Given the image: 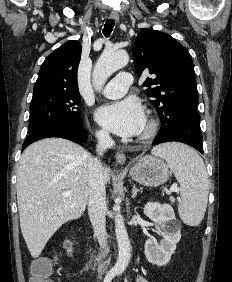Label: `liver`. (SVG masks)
Instances as JSON below:
<instances>
[{"label":"liver","mask_w":232,"mask_h":282,"mask_svg":"<svg viewBox=\"0 0 232 282\" xmlns=\"http://www.w3.org/2000/svg\"><path fill=\"white\" fill-rule=\"evenodd\" d=\"M88 152L62 138H47L28 146L19 161L17 201L20 227L33 258L67 221L84 213L89 195ZM104 180H110L103 168ZM69 192L68 197L62 194Z\"/></svg>","instance_id":"1"}]
</instances>
